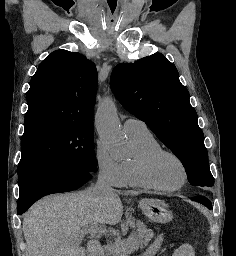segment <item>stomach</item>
<instances>
[{"mask_svg":"<svg viewBox=\"0 0 236 256\" xmlns=\"http://www.w3.org/2000/svg\"><path fill=\"white\" fill-rule=\"evenodd\" d=\"M139 204L144 214L155 223H167L172 219V212L169 210L165 202L161 200L143 199ZM162 240V236H158L148 247L144 256H153L160 248Z\"/></svg>","mask_w":236,"mask_h":256,"instance_id":"1","label":"stomach"}]
</instances>
